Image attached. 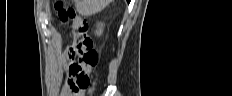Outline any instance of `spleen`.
<instances>
[{
    "instance_id": "spleen-1",
    "label": "spleen",
    "mask_w": 232,
    "mask_h": 96,
    "mask_svg": "<svg viewBox=\"0 0 232 96\" xmlns=\"http://www.w3.org/2000/svg\"><path fill=\"white\" fill-rule=\"evenodd\" d=\"M109 3L110 0H76L75 7L80 15L88 17L102 11Z\"/></svg>"
}]
</instances>
